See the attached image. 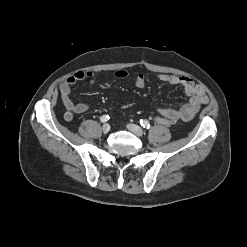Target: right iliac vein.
Returning a JSON list of instances; mask_svg holds the SVG:
<instances>
[{"instance_id":"right-iliac-vein-1","label":"right iliac vein","mask_w":247,"mask_h":247,"mask_svg":"<svg viewBox=\"0 0 247 247\" xmlns=\"http://www.w3.org/2000/svg\"><path fill=\"white\" fill-rule=\"evenodd\" d=\"M109 130H110V125L107 124V123H105V124L102 126V131H103L104 133H108Z\"/></svg>"}]
</instances>
